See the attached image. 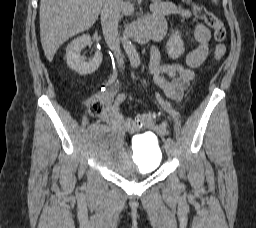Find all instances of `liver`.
<instances>
[{"instance_id": "liver-1", "label": "liver", "mask_w": 256, "mask_h": 228, "mask_svg": "<svg viewBox=\"0 0 256 228\" xmlns=\"http://www.w3.org/2000/svg\"><path fill=\"white\" fill-rule=\"evenodd\" d=\"M104 0H41L40 37L51 62L69 38L88 30L96 22Z\"/></svg>"}]
</instances>
